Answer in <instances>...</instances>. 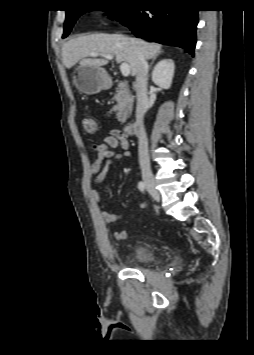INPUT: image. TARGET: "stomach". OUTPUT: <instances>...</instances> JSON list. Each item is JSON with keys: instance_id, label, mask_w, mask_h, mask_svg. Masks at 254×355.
Wrapping results in <instances>:
<instances>
[{"instance_id": "obj_1", "label": "stomach", "mask_w": 254, "mask_h": 355, "mask_svg": "<svg viewBox=\"0 0 254 355\" xmlns=\"http://www.w3.org/2000/svg\"><path fill=\"white\" fill-rule=\"evenodd\" d=\"M72 79L76 88L87 95L97 94L111 84L105 69L93 65H80L74 70Z\"/></svg>"}]
</instances>
